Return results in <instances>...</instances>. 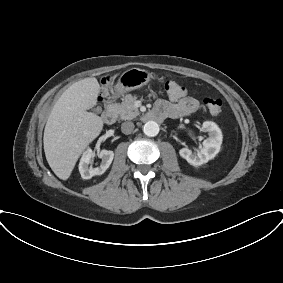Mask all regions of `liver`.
<instances>
[{
	"label": "liver",
	"mask_w": 283,
	"mask_h": 283,
	"mask_svg": "<svg viewBox=\"0 0 283 283\" xmlns=\"http://www.w3.org/2000/svg\"><path fill=\"white\" fill-rule=\"evenodd\" d=\"M95 77L73 83L57 100L44 130V152L55 175L67 180L88 145L99 136L103 120L88 112L97 104Z\"/></svg>",
	"instance_id": "6515ba94"
}]
</instances>
